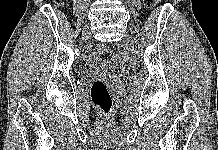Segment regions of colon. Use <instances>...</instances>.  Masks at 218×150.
Segmentation results:
<instances>
[{"label": "colon", "mask_w": 218, "mask_h": 150, "mask_svg": "<svg viewBox=\"0 0 218 150\" xmlns=\"http://www.w3.org/2000/svg\"><path fill=\"white\" fill-rule=\"evenodd\" d=\"M59 3H62L63 0H57ZM146 5L154 9L159 0H145ZM96 56L101 61L110 62L114 59V53L111 48L107 45L101 44L96 49ZM91 100L94 105L99 108L102 112L108 113L113 104L112 96L106 85L102 80H96L93 82L90 90Z\"/></svg>", "instance_id": "obj_1"}]
</instances>
